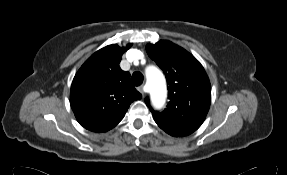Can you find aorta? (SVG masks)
Returning a JSON list of instances; mask_svg holds the SVG:
<instances>
[{"label":"aorta","mask_w":287,"mask_h":175,"mask_svg":"<svg viewBox=\"0 0 287 175\" xmlns=\"http://www.w3.org/2000/svg\"><path fill=\"white\" fill-rule=\"evenodd\" d=\"M147 83L153 88V101L156 107H161L166 98V83L163 74L156 67L146 71Z\"/></svg>","instance_id":"obj_1"}]
</instances>
